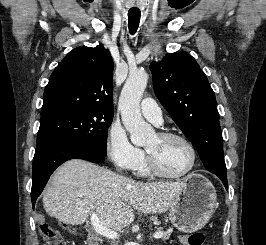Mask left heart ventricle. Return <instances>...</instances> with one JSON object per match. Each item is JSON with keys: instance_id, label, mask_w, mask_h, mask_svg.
Segmentation results:
<instances>
[{"instance_id": "left-heart-ventricle-1", "label": "left heart ventricle", "mask_w": 266, "mask_h": 245, "mask_svg": "<svg viewBox=\"0 0 266 245\" xmlns=\"http://www.w3.org/2000/svg\"><path fill=\"white\" fill-rule=\"evenodd\" d=\"M145 149L156 167L165 174L180 175L189 167L190 151L178 139H164L155 134L147 140Z\"/></svg>"}]
</instances>
